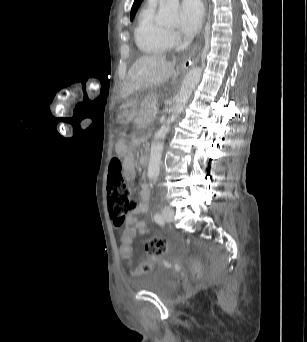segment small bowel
I'll return each instance as SVG.
<instances>
[{
  "label": "small bowel",
  "instance_id": "c3829d8e",
  "mask_svg": "<svg viewBox=\"0 0 307 342\" xmlns=\"http://www.w3.org/2000/svg\"><path fill=\"white\" fill-rule=\"evenodd\" d=\"M124 170L127 180L131 181L135 178L134 162L129 155H126L125 157ZM140 196L141 202L138 205H136L135 209L128 215L127 225H136V232H147L148 234L149 230L147 229L146 224L143 221L138 220V216L146 212L149 207L150 191L145 183L142 184Z\"/></svg>",
  "mask_w": 307,
  "mask_h": 342
}]
</instances>
